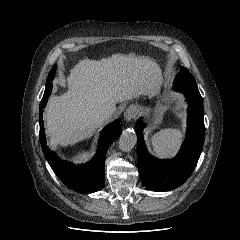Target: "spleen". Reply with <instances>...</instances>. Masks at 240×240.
Instances as JSON below:
<instances>
[{
	"label": "spleen",
	"instance_id": "obj_1",
	"mask_svg": "<svg viewBox=\"0 0 240 240\" xmlns=\"http://www.w3.org/2000/svg\"><path fill=\"white\" fill-rule=\"evenodd\" d=\"M182 133L178 129H164L152 136V146L156 155L170 156L179 147Z\"/></svg>",
	"mask_w": 240,
	"mask_h": 240
}]
</instances>
